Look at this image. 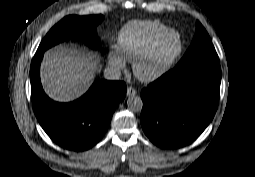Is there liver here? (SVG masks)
<instances>
[{
  "label": "liver",
  "mask_w": 255,
  "mask_h": 177,
  "mask_svg": "<svg viewBox=\"0 0 255 177\" xmlns=\"http://www.w3.org/2000/svg\"><path fill=\"white\" fill-rule=\"evenodd\" d=\"M97 61L74 44H60L45 53L41 80L45 92L57 101L74 100L91 85Z\"/></svg>",
  "instance_id": "6515ba94"
}]
</instances>
